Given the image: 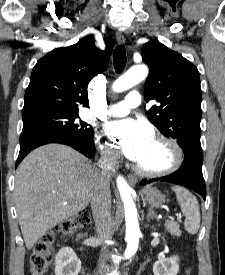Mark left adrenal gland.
Listing matches in <instances>:
<instances>
[{
  "label": "left adrenal gland",
  "instance_id": "left-adrenal-gland-1",
  "mask_svg": "<svg viewBox=\"0 0 225 275\" xmlns=\"http://www.w3.org/2000/svg\"><path fill=\"white\" fill-rule=\"evenodd\" d=\"M151 218H153V219L156 218V215H155V213H154V211H153L152 208L149 209V213L147 215V219L148 220H150Z\"/></svg>",
  "mask_w": 225,
  "mask_h": 275
}]
</instances>
